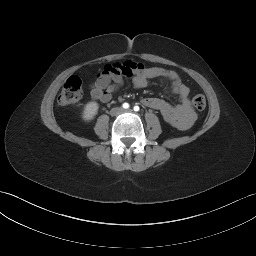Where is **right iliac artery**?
<instances>
[{"label":"right iliac artery","mask_w":256,"mask_h":256,"mask_svg":"<svg viewBox=\"0 0 256 256\" xmlns=\"http://www.w3.org/2000/svg\"><path fill=\"white\" fill-rule=\"evenodd\" d=\"M122 106H123L124 109H128L129 108V104L128 103H124Z\"/></svg>","instance_id":"1"}]
</instances>
